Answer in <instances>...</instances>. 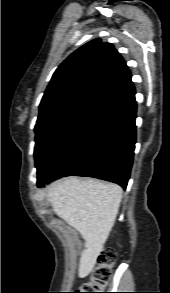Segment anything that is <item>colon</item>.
I'll return each instance as SVG.
<instances>
[{
  "mask_svg": "<svg viewBox=\"0 0 170 293\" xmlns=\"http://www.w3.org/2000/svg\"><path fill=\"white\" fill-rule=\"evenodd\" d=\"M116 263V251L105 248L91 268L90 275L71 293H99L111 279V269Z\"/></svg>",
  "mask_w": 170,
  "mask_h": 293,
  "instance_id": "5ec220e1",
  "label": "colon"
}]
</instances>
